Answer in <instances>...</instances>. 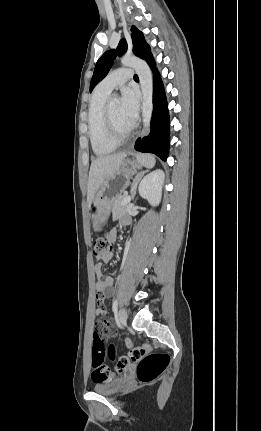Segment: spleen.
Wrapping results in <instances>:
<instances>
[{
  "label": "spleen",
  "mask_w": 261,
  "mask_h": 431,
  "mask_svg": "<svg viewBox=\"0 0 261 431\" xmlns=\"http://www.w3.org/2000/svg\"><path fill=\"white\" fill-rule=\"evenodd\" d=\"M138 158L141 164H143L148 168H152L155 164V158L151 155H142V156H139Z\"/></svg>",
  "instance_id": "obj_1"
}]
</instances>
